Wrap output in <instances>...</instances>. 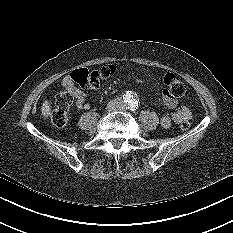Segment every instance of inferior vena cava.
Wrapping results in <instances>:
<instances>
[{
  "mask_svg": "<svg viewBox=\"0 0 233 233\" xmlns=\"http://www.w3.org/2000/svg\"><path fill=\"white\" fill-rule=\"evenodd\" d=\"M107 108L109 111H115V110L120 109V106H118V104H116L115 102L110 101L107 105Z\"/></svg>",
  "mask_w": 233,
  "mask_h": 233,
  "instance_id": "602c4592",
  "label": "inferior vena cava"
}]
</instances>
